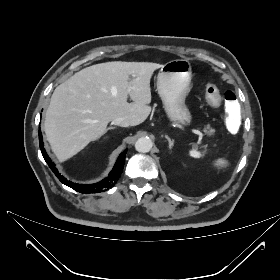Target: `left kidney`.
<instances>
[{
	"label": "left kidney",
	"mask_w": 280,
	"mask_h": 280,
	"mask_svg": "<svg viewBox=\"0 0 280 280\" xmlns=\"http://www.w3.org/2000/svg\"><path fill=\"white\" fill-rule=\"evenodd\" d=\"M189 154L191 157H194V158H200L202 156V154L197 151V149L193 148L189 151Z\"/></svg>",
	"instance_id": "left-kidney-1"
}]
</instances>
